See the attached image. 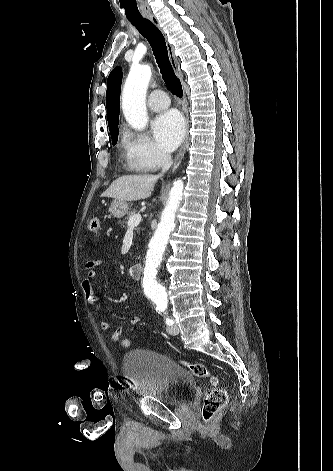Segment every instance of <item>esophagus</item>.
<instances>
[{
	"instance_id": "obj_1",
	"label": "esophagus",
	"mask_w": 333,
	"mask_h": 471,
	"mask_svg": "<svg viewBox=\"0 0 333 471\" xmlns=\"http://www.w3.org/2000/svg\"><path fill=\"white\" fill-rule=\"evenodd\" d=\"M148 19L159 29L162 31V28L160 27V24H159V21L158 19L153 16V15H150L148 16ZM167 50H168V55H169V58H170V62H171V65L176 73V75L181 79L183 80V74L180 70V67H179V63H178V60L176 58V55H175V51H174V47L172 46V44L170 42H167ZM188 129H189V123H188V120H187V124H186V136H185V140L180 148V150L178 151L176 157H175V160H174V163H173V166L171 168V171L173 172L178 166L179 164L181 163L183 157H184V154H185V150H186V147H187V144H188V139H189V134H188Z\"/></svg>"
}]
</instances>
